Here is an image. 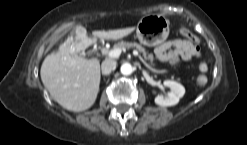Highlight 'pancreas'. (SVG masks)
Instances as JSON below:
<instances>
[{
  "label": "pancreas",
  "mask_w": 247,
  "mask_h": 145,
  "mask_svg": "<svg viewBox=\"0 0 247 145\" xmlns=\"http://www.w3.org/2000/svg\"><path fill=\"white\" fill-rule=\"evenodd\" d=\"M130 48L137 49L140 53L143 54L146 60H150L151 62L154 60L153 54H148L146 49L138 43L121 41L113 46V49H121V50H126ZM108 52H109L108 50H105V53H108ZM161 72H164V70H162Z\"/></svg>",
  "instance_id": "1"
}]
</instances>
